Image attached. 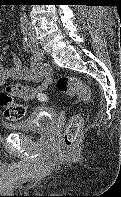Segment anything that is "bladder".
I'll use <instances>...</instances> for the list:
<instances>
[{"mask_svg": "<svg viewBox=\"0 0 121 197\" xmlns=\"http://www.w3.org/2000/svg\"><path fill=\"white\" fill-rule=\"evenodd\" d=\"M56 118V113L49 107H39L36 112L21 121L9 124V130L23 133H38L49 128Z\"/></svg>", "mask_w": 121, "mask_h": 197, "instance_id": "1", "label": "bladder"}]
</instances>
